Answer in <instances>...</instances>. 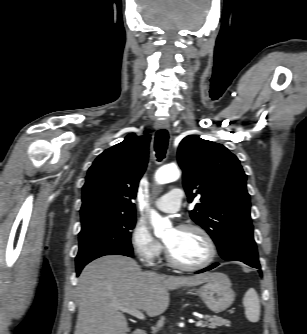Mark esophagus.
I'll list each match as a JSON object with an SVG mask.
<instances>
[{
	"mask_svg": "<svg viewBox=\"0 0 307 334\" xmlns=\"http://www.w3.org/2000/svg\"><path fill=\"white\" fill-rule=\"evenodd\" d=\"M156 129H168L169 128V121L167 119L157 120L155 122Z\"/></svg>",
	"mask_w": 307,
	"mask_h": 334,
	"instance_id": "obj_1",
	"label": "esophagus"
}]
</instances>
